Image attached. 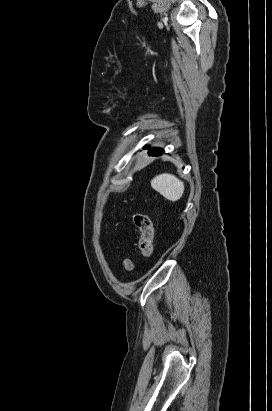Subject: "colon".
Instances as JSON below:
<instances>
[{
    "instance_id": "colon-1",
    "label": "colon",
    "mask_w": 272,
    "mask_h": 411,
    "mask_svg": "<svg viewBox=\"0 0 272 411\" xmlns=\"http://www.w3.org/2000/svg\"><path fill=\"white\" fill-rule=\"evenodd\" d=\"M134 223L139 231L138 246L144 257L153 255V226L151 219L144 212H136L134 214Z\"/></svg>"
}]
</instances>
